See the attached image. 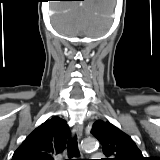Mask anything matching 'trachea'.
<instances>
[{"mask_svg": "<svg viewBox=\"0 0 160 160\" xmlns=\"http://www.w3.org/2000/svg\"><path fill=\"white\" fill-rule=\"evenodd\" d=\"M67 150L70 158L79 155L77 137L68 140ZM66 160H78V159H66Z\"/></svg>", "mask_w": 160, "mask_h": 160, "instance_id": "1", "label": "trachea"}]
</instances>
